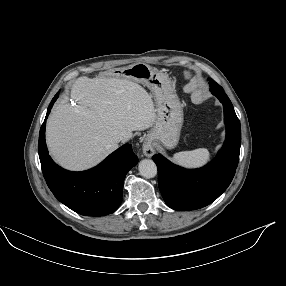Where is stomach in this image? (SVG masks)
I'll use <instances>...</instances> for the list:
<instances>
[{
    "instance_id": "1",
    "label": "stomach",
    "mask_w": 286,
    "mask_h": 286,
    "mask_svg": "<svg viewBox=\"0 0 286 286\" xmlns=\"http://www.w3.org/2000/svg\"><path fill=\"white\" fill-rule=\"evenodd\" d=\"M116 77L147 86L154 97L156 120L145 142L171 149L179 141L183 109L174 86L166 73L138 62L119 69Z\"/></svg>"
}]
</instances>
